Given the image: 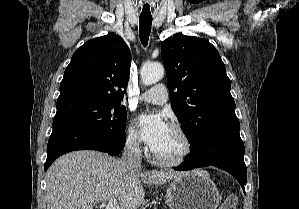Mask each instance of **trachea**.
<instances>
[{"mask_svg": "<svg viewBox=\"0 0 299 209\" xmlns=\"http://www.w3.org/2000/svg\"><path fill=\"white\" fill-rule=\"evenodd\" d=\"M152 17H139V35L143 46L148 45L151 32Z\"/></svg>", "mask_w": 299, "mask_h": 209, "instance_id": "trachea-1", "label": "trachea"}]
</instances>
